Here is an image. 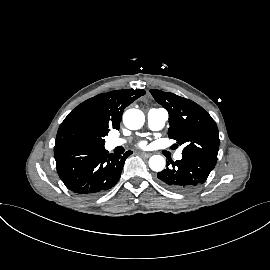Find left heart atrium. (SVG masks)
I'll use <instances>...</instances> for the list:
<instances>
[{"label":"left heart atrium","mask_w":270,"mask_h":270,"mask_svg":"<svg viewBox=\"0 0 270 270\" xmlns=\"http://www.w3.org/2000/svg\"><path fill=\"white\" fill-rule=\"evenodd\" d=\"M145 145H146V144H145L144 142H143V143H141V146H142V147H145Z\"/></svg>","instance_id":"1"}]
</instances>
